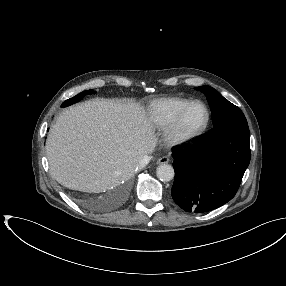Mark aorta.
<instances>
[{
    "instance_id": "1",
    "label": "aorta",
    "mask_w": 286,
    "mask_h": 286,
    "mask_svg": "<svg viewBox=\"0 0 286 286\" xmlns=\"http://www.w3.org/2000/svg\"><path fill=\"white\" fill-rule=\"evenodd\" d=\"M156 174L161 181L168 182L174 178V169L169 164H162L157 168Z\"/></svg>"
}]
</instances>
